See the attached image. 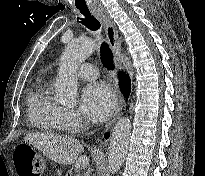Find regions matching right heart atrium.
Masks as SVG:
<instances>
[{"instance_id":"d8ad5b80","label":"right heart atrium","mask_w":205,"mask_h":176,"mask_svg":"<svg viewBox=\"0 0 205 176\" xmlns=\"http://www.w3.org/2000/svg\"><path fill=\"white\" fill-rule=\"evenodd\" d=\"M62 119L66 126L80 125L82 122L79 113L71 108H62Z\"/></svg>"}]
</instances>
